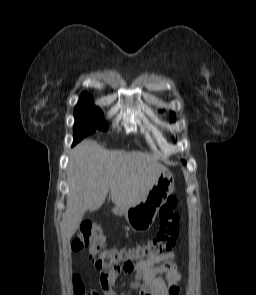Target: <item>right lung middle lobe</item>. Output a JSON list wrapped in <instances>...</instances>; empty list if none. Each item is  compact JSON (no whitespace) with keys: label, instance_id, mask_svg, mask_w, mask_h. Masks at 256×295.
Returning a JSON list of instances; mask_svg holds the SVG:
<instances>
[{"label":"right lung middle lobe","instance_id":"dd1d6c3e","mask_svg":"<svg viewBox=\"0 0 256 295\" xmlns=\"http://www.w3.org/2000/svg\"><path fill=\"white\" fill-rule=\"evenodd\" d=\"M74 144L85 136L92 134L96 129L106 131L108 124L104 120L102 111L93 105L92 101H80L74 109Z\"/></svg>","mask_w":256,"mask_h":295}]
</instances>
